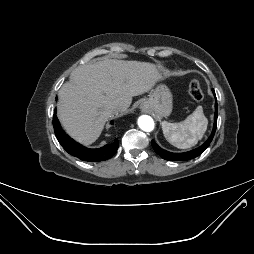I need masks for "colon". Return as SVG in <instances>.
<instances>
[{"label": "colon", "mask_w": 254, "mask_h": 254, "mask_svg": "<svg viewBox=\"0 0 254 254\" xmlns=\"http://www.w3.org/2000/svg\"><path fill=\"white\" fill-rule=\"evenodd\" d=\"M189 94L196 102H201L204 99V94L200 83L197 79H193L189 84Z\"/></svg>", "instance_id": "colon-1"}]
</instances>
